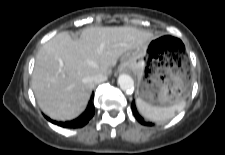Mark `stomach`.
Listing matches in <instances>:
<instances>
[{"label":"stomach","instance_id":"1","mask_svg":"<svg viewBox=\"0 0 225 155\" xmlns=\"http://www.w3.org/2000/svg\"><path fill=\"white\" fill-rule=\"evenodd\" d=\"M159 39L152 40L146 51L128 53L122 66L130 69L138 79V97L157 107H168L184 100L190 91L186 66L170 62L158 52Z\"/></svg>","mask_w":225,"mask_h":155}]
</instances>
